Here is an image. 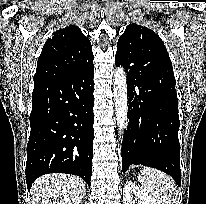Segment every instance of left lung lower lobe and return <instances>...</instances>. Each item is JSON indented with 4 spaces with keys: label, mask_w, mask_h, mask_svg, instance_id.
<instances>
[{
    "label": "left lung lower lobe",
    "mask_w": 206,
    "mask_h": 204,
    "mask_svg": "<svg viewBox=\"0 0 206 204\" xmlns=\"http://www.w3.org/2000/svg\"><path fill=\"white\" fill-rule=\"evenodd\" d=\"M129 96L122 169L141 164L159 169L181 184L178 98L173 72L161 65H124Z\"/></svg>",
    "instance_id": "1"
}]
</instances>
